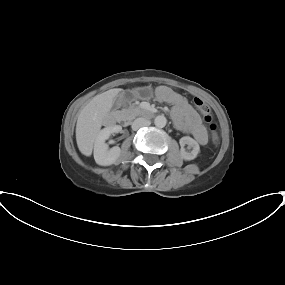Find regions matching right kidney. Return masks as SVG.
Instances as JSON below:
<instances>
[{"label": "right kidney", "mask_w": 285, "mask_h": 285, "mask_svg": "<svg viewBox=\"0 0 285 285\" xmlns=\"http://www.w3.org/2000/svg\"><path fill=\"white\" fill-rule=\"evenodd\" d=\"M122 127L120 125L107 126L102 129L96 137L94 143V159L98 165L109 166L114 164L121 155V149L117 146L109 149L105 140L113 133L121 132Z\"/></svg>", "instance_id": "right-kidney-1"}]
</instances>
